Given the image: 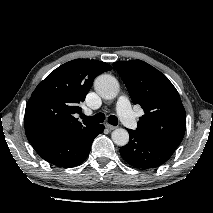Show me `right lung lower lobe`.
<instances>
[{
  "label": "right lung lower lobe",
  "mask_w": 213,
  "mask_h": 213,
  "mask_svg": "<svg viewBox=\"0 0 213 213\" xmlns=\"http://www.w3.org/2000/svg\"><path fill=\"white\" fill-rule=\"evenodd\" d=\"M103 130L104 125L94 124L67 140L57 142L35 141L31 144L47 162L59 167H74L87 158L94 138Z\"/></svg>",
  "instance_id": "obj_1"
}]
</instances>
